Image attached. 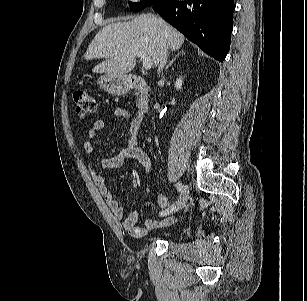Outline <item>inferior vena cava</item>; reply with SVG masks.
Returning a JSON list of instances; mask_svg holds the SVG:
<instances>
[{
	"label": "inferior vena cava",
	"mask_w": 307,
	"mask_h": 301,
	"mask_svg": "<svg viewBox=\"0 0 307 301\" xmlns=\"http://www.w3.org/2000/svg\"><path fill=\"white\" fill-rule=\"evenodd\" d=\"M168 46H164L161 53H160V60H159V66H158V72L160 73V71L163 69V67L165 66L166 62H167V56H168Z\"/></svg>",
	"instance_id": "1"
}]
</instances>
